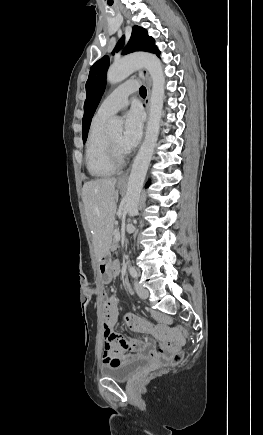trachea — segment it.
<instances>
[{
  "mask_svg": "<svg viewBox=\"0 0 263 435\" xmlns=\"http://www.w3.org/2000/svg\"><path fill=\"white\" fill-rule=\"evenodd\" d=\"M139 93L142 97H145L147 94L146 88L144 86L140 87Z\"/></svg>",
  "mask_w": 263,
  "mask_h": 435,
  "instance_id": "obj_1",
  "label": "trachea"
}]
</instances>
